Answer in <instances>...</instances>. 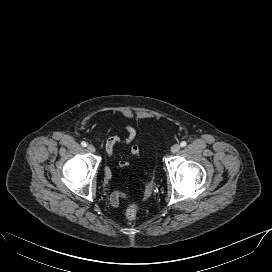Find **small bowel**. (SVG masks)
I'll use <instances>...</instances> for the list:
<instances>
[{
    "instance_id": "small-bowel-1",
    "label": "small bowel",
    "mask_w": 272,
    "mask_h": 272,
    "mask_svg": "<svg viewBox=\"0 0 272 272\" xmlns=\"http://www.w3.org/2000/svg\"><path fill=\"white\" fill-rule=\"evenodd\" d=\"M125 131L126 135L125 136H116L112 135L109 132L106 134L105 138L103 141L105 142L106 145V151L108 155L113 156L114 155V147L117 144H123V145H131L129 153L131 156L136 157L140 154V149L137 145L133 144L134 140L137 137V130L136 128L131 125V124H126L125 125ZM129 166V162L126 160H121L118 163L119 168H126ZM111 178V171L109 168H106V181L108 182ZM128 197V194L123 191H113L110 194V203L113 207H118L120 204V201L122 199H125Z\"/></svg>"
}]
</instances>
